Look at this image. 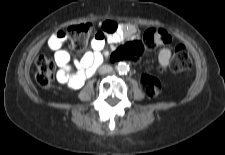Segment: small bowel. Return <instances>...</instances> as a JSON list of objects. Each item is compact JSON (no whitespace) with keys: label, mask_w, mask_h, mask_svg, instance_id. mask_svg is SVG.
<instances>
[{"label":"small bowel","mask_w":225,"mask_h":155,"mask_svg":"<svg viewBox=\"0 0 225 155\" xmlns=\"http://www.w3.org/2000/svg\"><path fill=\"white\" fill-rule=\"evenodd\" d=\"M132 32L134 29L130 25H120L114 21L104 22L102 30L95 34L91 42L93 51L86 53L80 60L71 64L69 53L62 49L68 44V35L61 30L55 31L48 40V46L55 52L54 60L58 66L57 80L71 89L80 88L101 63V51L106 42H118L123 36ZM170 59L171 50L168 47L162 48L158 53L160 66L166 68Z\"/></svg>","instance_id":"small-bowel-1"}]
</instances>
